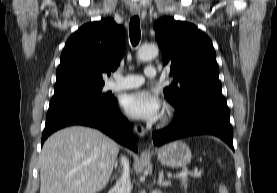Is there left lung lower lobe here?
<instances>
[{"mask_svg": "<svg viewBox=\"0 0 277 193\" xmlns=\"http://www.w3.org/2000/svg\"><path fill=\"white\" fill-rule=\"evenodd\" d=\"M209 134L224 140L233 150V130L229 108L221 91L200 93L176 110L171 125L153 132V143H164L191 135Z\"/></svg>", "mask_w": 277, "mask_h": 193, "instance_id": "obj_1", "label": "left lung lower lobe"}]
</instances>
